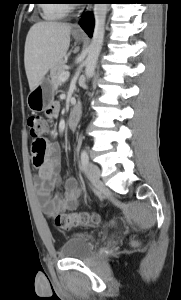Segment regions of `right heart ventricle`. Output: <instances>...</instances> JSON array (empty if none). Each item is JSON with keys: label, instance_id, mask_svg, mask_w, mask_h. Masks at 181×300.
<instances>
[{"label": "right heart ventricle", "instance_id": "e07e8e85", "mask_svg": "<svg viewBox=\"0 0 181 300\" xmlns=\"http://www.w3.org/2000/svg\"><path fill=\"white\" fill-rule=\"evenodd\" d=\"M68 11L67 5L60 0H45L41 5V13L44 19L53 21L63 18Z\"/></svg>", "mask_w": 181, "mask_h": 300}]
</instances>
